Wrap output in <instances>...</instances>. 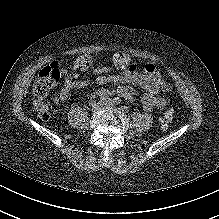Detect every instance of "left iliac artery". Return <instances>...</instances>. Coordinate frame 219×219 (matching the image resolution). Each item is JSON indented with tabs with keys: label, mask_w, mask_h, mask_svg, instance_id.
Instances as JSON below:
<instances>
[{
	"label": "left iliac artery",
	"mask_w": 219,
	"mask_h": 219,
	"mask_svg": "<svg viewBox=\"0 0 219 219\" xmlns=\"http://www.w3.org/2000/svg\"><path fill=\"white\" fill-rule=\"evenodd\" d=\"M120 102H121V100H120L119 97H116V98L113 99V103H114L115 105H119Z\"/></svg>",
	"instance_id": "obj_1"
}]
</instances>
